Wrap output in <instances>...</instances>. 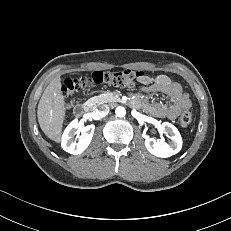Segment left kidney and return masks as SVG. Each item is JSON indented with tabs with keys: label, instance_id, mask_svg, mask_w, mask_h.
<instances>
[{
	"label": "left kidney",
	"instance_id": "left-kidney-1",
	"mask_svg": "<svg viewBox=\"0 0 231 231\" xmlns=\"http://www.w3.org/2000/svg\"><path fill=\"white\" fill-rule=\"evenodd\" d=\"M161 129L170 136V144L162 141L158 142L154 138H150L149 136H147L145 139V146L151 154L157 157L167 158L175 155L181 150L182 138L177 128L171 123H162Z\"/></svg>",
	"mask_w": 231,
	"mask_h": 231
}]
</instances>
